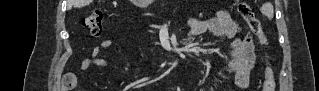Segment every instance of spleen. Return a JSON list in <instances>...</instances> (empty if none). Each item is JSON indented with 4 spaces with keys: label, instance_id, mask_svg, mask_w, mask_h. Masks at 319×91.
I'll return each instance as SVG.
<instances>
[{
    "label": "spleen",
    "instance_id": "obj_1",
    "mask_svg": "<svg viewBox=\"0 0 319 91\" xmlns=\"http://www.w3.org/2000/svg\"><path fill=\"white\" fill-rule=\"evenodd\" d=\"M261 12L264 14L267 18L272 19L274 16V9L273 5L270 2L265 3L261 7Z\"/></svg>",
    "mask_w": 319,
    "mask_h": 91
}]
</instances>
